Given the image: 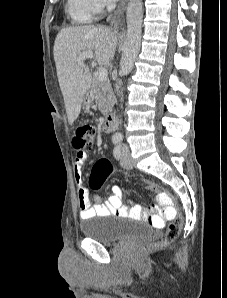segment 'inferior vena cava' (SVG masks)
I'll return each instance as SVG.
<instances>
[{
	"label": "inferior vena cava",
	"instance_id": "inferior-vena-cava-1",
	"mask_svg": "<svg viewBox=\"0 0 227 298\" xmlns=\"http://www.w3.org/2000/svg\"><path fill=\"white\" fill-rule=\"evenodd\" d=\"M112 6H113V5L110 4V3H108V5H107L108 9H110Z\"/></svg>",
	"mask_w": 227,
	"mask_h": 298
}]
</instances>
